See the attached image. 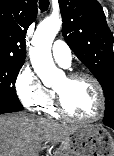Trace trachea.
<instances>
[{"label":"trachea","mask_w":114,"mask_h":156,"mask_svg":"<svg viewBox=\"0 0 114 156\" xmlns=\"http://www.w3.org/2000/svg\"><path fill=\"white\" fill-rule=\"evenodd\" d=\"M49 7V0H39V8L42 12L46 11Z\"/></svg>","instance_id":"1"}]
</instances>
